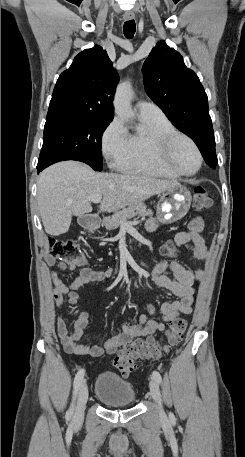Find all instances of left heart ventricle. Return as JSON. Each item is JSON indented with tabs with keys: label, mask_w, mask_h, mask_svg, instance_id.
Here are the masks:
<instances>
[{
	"label": "left heart ventricle",
	"mask_w": 245,
	"mask_h": 457,
	"mask_svg": "<svg viewBox=\"0 0 245 457\" xmlns=\"http://www.w3.org/2000/svg\"><path fill=\"white\" fill-rule=\"evenodd\" d=\"M160 157L164 162L184 172L193 171L197 166V158L184 139L177 140L174 146L165 150Z\"/></svg>",
	"instance_id": "b2bd125f"
}]
</instances>
